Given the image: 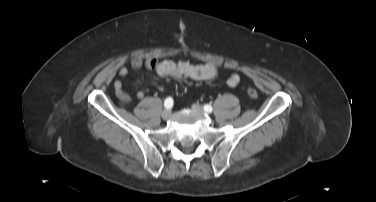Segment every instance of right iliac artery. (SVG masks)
Segmentation results:
<instances>
[{"label":"right iliac artery","instance_id":"1","mask_svg":"<svg viewBox=\"0 0 376 202\" xmlns=\"http://www.w3.org/2000/svg\"><path fill=\"white\" fill-rule=\"evenodd\" d=\"M164 106H165L166 109L172 108V106H173V98L172 97L166 98L165 101H164Z\"/></svg>","mask_w":376,"mask_h":202}]
</instances>
